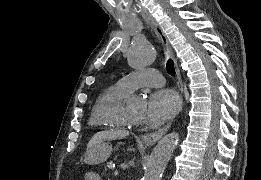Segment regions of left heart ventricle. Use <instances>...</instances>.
I'll list each match as a JSON object with an SVG mask.
<instances>
[{
  "label": "left heart ventricle",
  "mask_w": 261,
  "mask_h": 180,
  "mask_svg": "<svg viewBox=\"0 0 261 180\" xmlns=\"http://www.w3.org/2000/svg\"><path fill=\"white\" fill-rule=\"evenodd\" d=\"M133 94H130L127 98H130ZM145 108V102L143 101L139 105L125 107L124 106V113H123V119L132 124H138L141 125L145 123V120L142 116V112Z\"/></svg>",
  "instance_id": "obj_1"
}]
</instances>
